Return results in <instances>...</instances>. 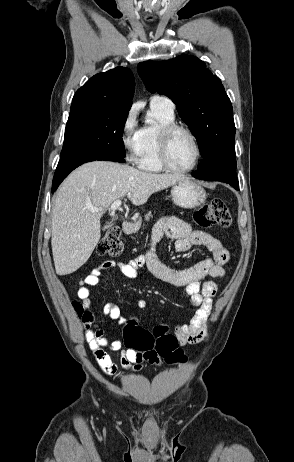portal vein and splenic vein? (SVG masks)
<instances>
[{
  "instance_id": "1",
  "label": "portal vein and splenic vein",
  "mask_w": 294,
  "mask_h": 462,
  "mask_svg": "<svg viewBox=\"0 0 294 462\" xmlns=\"http://www.w3.org/2000/svg\"><path fill=\"white\" fill-rule=\"evenodd\" d=\"M121 203H122V202H121V200H119V199L116 200V201H114V202L111 204V206H110V210L113 211V212H115L117 209L120 208ZM88 209H89L91 212H99V211H100V209L95 208V207H89Z\"/></svg>"
}]
</instances>
